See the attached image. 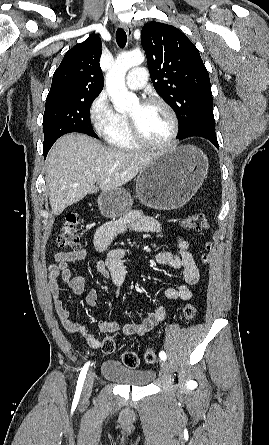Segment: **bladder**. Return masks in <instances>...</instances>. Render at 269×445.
Wrapping results in <instances>:
<instances>
[{
	"mask_svg": "<svg viewBox=\"0 0 269 445\" xmlns=\"http://www.w3.org/2000/svg\"><path fill=\"white\" fill-rule=\"evenodd\" d=\"M103 378L130 387H146L155 379L151 369H133L117 360H107L101 365Z\"/></svg>",
	"mask_w": 269,
	"mask_h": 445,
	"instance_id": "31cf9c89",
	"label": "bladder"
}]
</instances>
